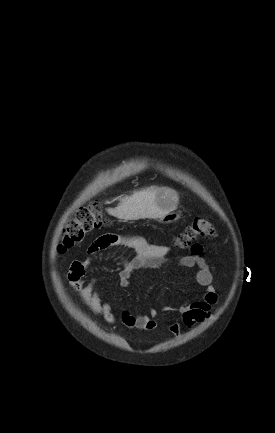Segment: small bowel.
<instances>
[{"label": "small bowel", "instance_id": "1", "mask_svg": "<svg viewBox=\"0 0 275 433\" xmlns=\"http://www.w3.org/2000/svg\"><path fill=\"white\" fill-rule=\"evenodd\" d=\"M112 246H126L134 253V259L129 261L121 259L122 269L119 273L121 287H128L132 275L142 268H153L165 262L171 253V248L166 245H154L148 243L138 236H126L116 233H109L99 237L89 248V253L94 254ZM203 247L195 244L191 254L179 259L178 264L187 268H196L194 282L205 288L201 299L189 301L179 308L182 314L183 324L192 328L195 325L207 320L211 315L212 307L217 303L218 295L212 285L213 275L208 262L202 258ZM92 258L85 260H74L69 268L68 281L71 287L78 291L83 302L97 315L101 316L108 324L116 323V316L111 305L101 299L99 292L94 288V281H85L86 272L91 264ZM159 313L151 309L149 315H133L125 311L120 317L121 323L136 330H155L156 319ZM169 331L174 336H180L181 325L173 323Z\"/></svg>", "mask_w": 275, "mask_h": 433}]
</instances>
